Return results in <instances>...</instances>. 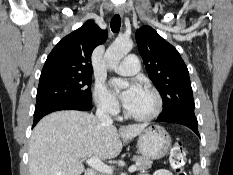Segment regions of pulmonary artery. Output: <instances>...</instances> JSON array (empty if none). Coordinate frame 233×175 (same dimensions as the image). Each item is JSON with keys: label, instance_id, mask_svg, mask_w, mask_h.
I'll return each instance as SVG.
<instances>
[{"label": "pulmonary artery", "instance_id": "e3ab8cb5", "mask_svg": "<svg viewBox=\"0 0 233 175\" xmlns=\"http://www.w3.org/2000/svg\"><path fill=\"white\" fill-rule=\"evenodd\" d=\"M140 62L136 55L130 54L126 56L116 67V71L125 76L134 75L139 71Z\"/></svg>", "mask_w": 233, "mask_h": 175}]
</instances>
